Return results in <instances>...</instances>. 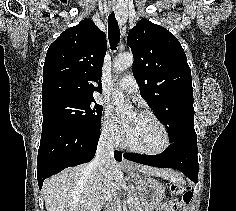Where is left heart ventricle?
Masks as SVG:
<instances>
[{"label": "left heart ventricle", "mask_w": 236, "mask_h": 211, "mask_svg": "<svg viewBox=\"0 0 236 211\" xmlns=\"http://www.w3.org/2000/svg\"><path fill=\"white\" fill-rule=\"evenodd\" d=\"M125 128V137L129 144L145 151H157L164 142L161 128L150 118L138 113L131 114Z\"/></svg>", "instance_id": "left-heart-ventricle-1"}]
</instances>
